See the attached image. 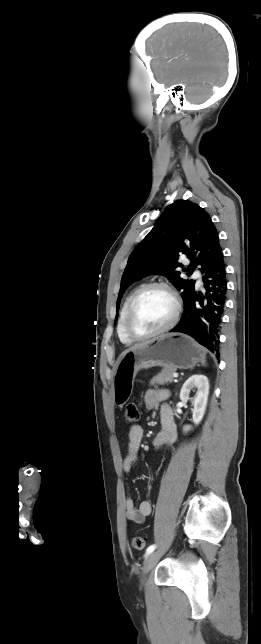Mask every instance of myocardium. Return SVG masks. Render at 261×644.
<instances>
[{"label": "myocardium", "instance_id": "obj_1", "mask_svg": "<svg viewBox=\"0 0 261 644\" xmlns=\"http://www.w3.org/2000/svg\"><path fill=\"white\" fill-rule=\"evenodd\" d=\"M152 288L163 289L171 296V298L173 300V304H174L173 315H172L170 321L165 326H163L162 328H160V329H158L156 331H153L151 333L145 334V335H139V334H137V333H135L133 331L132 326H131L134 309H135L136 303L139 300V298L147 290L152 289ZM181 309H182V306H181L180 298H179L178 294L176 293V291L171 286H169L168 284H166L164 282H158V281L146 283V284L142 285L140 288H138L136 290V292L133 294L132 298L130 299V302H129L127 310H126L125 318H124V331H125L126 335L133 341H145V340L154 338L156 336H159L161 334H164V333L170 331L172 328L175 327V325L177 324V322L179 320V317H180V314H181Z\"/></svg>", "mask_w": 261, "mask_h": 644}]
</instances>
